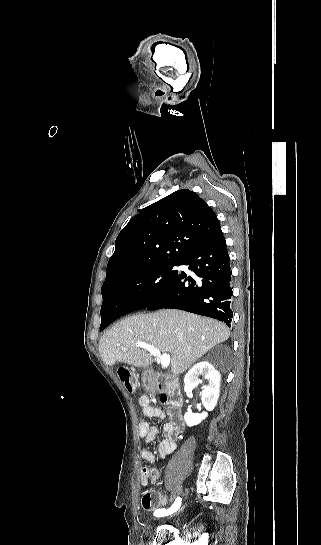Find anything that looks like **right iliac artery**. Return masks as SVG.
<instances>
[{
    "mask_svg": "<svg viewBox=\"0 0 321 545\" xmlns=\"http://www.w3.org/2000/svg\"><path fill=\"white\" fill-rule=\"evenodd\" d=\"M180 505H181V499L178 498V499L174 502V504L172 505L171 508H169V509H167V510H165V509L157 510V511H155L154 515H155V516H158V517H159V516L170 515V514L174 513L175 511H177V510L179 509Z\"/></svg>",
    "mask_w": 321,
    "mask_h": 545,
    "instance_id": "right-iliac-artery-1",
    "label": "right iliac artery"
}]
</instances>
